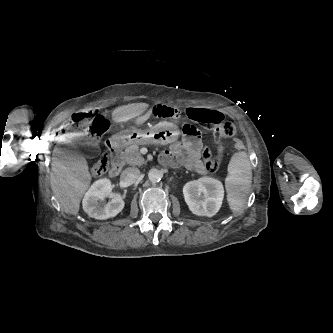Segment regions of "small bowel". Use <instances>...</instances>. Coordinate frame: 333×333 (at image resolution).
Segmentation results:
<instances>
[{
  "label": "small bowel",
  "instance_id": "small-bowel-1",
  "mask_svg": "<svg viewBox=\"0 0 333 333\" xmlns=\"http://www.w3.org/2000/svg\"><path fill=\"white\" fill-rule=\"evenodd\" d=\"M202 112L201 120L203 123L211 125L214 122H223L224 115L218 110L198 109ZM146 114H141L136 119L130 120V125H137L146 119ZM201 142L195 136H189L183 141L173 144L168 151L165 152V159L171 158L185 168L197 173H205L204 163L201 159Z\"/></svg>",
  "mask_w": 333,
  "mask_h": 333
}]
</instances>
